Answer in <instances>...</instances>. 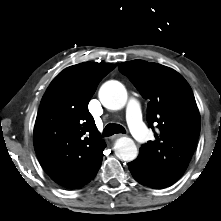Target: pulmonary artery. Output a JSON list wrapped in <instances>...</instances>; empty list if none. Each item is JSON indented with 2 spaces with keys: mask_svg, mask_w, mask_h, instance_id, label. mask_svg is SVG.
<instances>
[{
  "mask_svg": "<svg viewBox=\"0 0 221 221\" xmlns=\"http://www.w3.org/2000/svg\"><path fill=\"white\" fill-rule=\"evenodd\" d=\"M127 115H128V122L130 130L133 134V136L139 141V142H145L147 141L149 137L148 130L143 125L141 120V108L139 102L131 98L127 105Z\"/></svg>",
  "mask_w": 221,
  "mask_h": 221,
  "instance_id": "pulmonary-artery-1",
  "label": "pulmonary artery"
}]
</instances>
